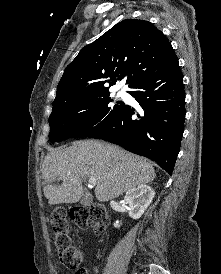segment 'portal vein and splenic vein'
<instances>
[{"label": "portal vein and splenic vein", "mask_w": 221, "mask_h": 274, "mask_svg": "<svg viewBox=\"0 0 221 274\" xmlns=\"http://www.w3.org/2000/svg\"><path fill=\"white\" fill-rule=\"evenodd\" d=\"M64 178L66 179L67 177H64ZM88 183H89L90 186H94V185L97 184V181H96V179L91 178V179L88 180Z\"/></svg>", "instance_id": "obj_1"}]
</instances>
